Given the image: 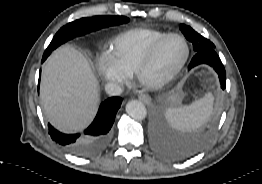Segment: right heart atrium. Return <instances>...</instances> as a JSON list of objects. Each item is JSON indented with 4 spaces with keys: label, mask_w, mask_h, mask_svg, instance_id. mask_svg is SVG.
Listing matches in <instances>:
<instances>
[{
    "label": "right heart atrium",
    "mask_w": 262,
    "mask_h": 184,
    "mask_svg": "<svg viewBox=\"0 0 262 184\" xmlns=\"http://www.w3.org/2000/svg\"><path fill=\"white\" fill-rule=\"evenodd\" d=\"M96 69L101 78L109 84L120 85L128 78V74L109 53H104L98 58Z\"/></svg>",
    "instance_id": "right-heart-atrium-1"
}]
</instances>
